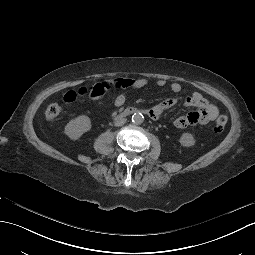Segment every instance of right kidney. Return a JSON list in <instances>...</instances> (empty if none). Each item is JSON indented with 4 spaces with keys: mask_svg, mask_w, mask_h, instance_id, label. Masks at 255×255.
Instances as JSON below:
<instances>
[{
    "mask_svg": "<svg viewBox=\"0 0 255 255\" xmlns=\"http://www.w3.org/2000/svg\"><path fill=\"white\" fill-rule=\"evenodd\" d=\"M91 121L87 116H79L71 120L65 127V134L72 140H77L84 132L90 130Z\"/></svg>",
    "mask_w": 255,
    "mask_h": 255,
    "instance_id": "ca27d5eb",
    "label": "right kidney"
}]
</instances>
